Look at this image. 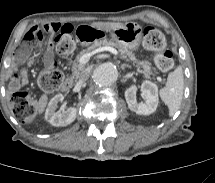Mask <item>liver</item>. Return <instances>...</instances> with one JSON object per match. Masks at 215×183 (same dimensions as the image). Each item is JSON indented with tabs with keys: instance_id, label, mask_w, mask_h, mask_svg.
Listing matches in <instances>:
<instances>
[{
	"instance_id": "obj_1",
	"label": "liver",
	"mask_w": 215,
	"mask_h": 183,
	"mask_svg": "<svg viewBox=\"0 0 215 183\" xmlns=\"http://www.w3.org/2000/svg\"><path fill=\"white\" fill-rule=\"evenodd\" d=\"M91 27L101 30V31H111L113 29H117L124 26V23L119 22H93L89 24ZM48 97L47 95H42L37 104V110L39 114L43 113L46 105H47Z\"/></svg>"
}]
</instances>
